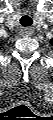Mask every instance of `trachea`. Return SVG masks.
I'll return each instance as SVG.
<instances>
[{
	"label": "trachea",
	"instance_id": "1",
	"mask_svg": "<svg viewBox=\"0 0 53 120\" xmlns=\"http://www.w3.org/2000/svg\"><path fill=\"white\" fill-rule=\"evenodd\" d=\"M20 23L23 26H31L33 21H32V19L29 16L24 15V16L21 17Z\"/></svg>",
	"mask_w": 53,
	"mask_h": 120
}]
</instances>
